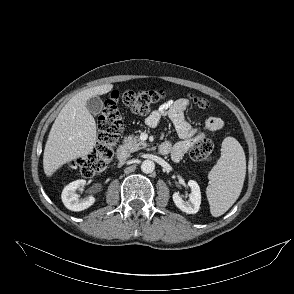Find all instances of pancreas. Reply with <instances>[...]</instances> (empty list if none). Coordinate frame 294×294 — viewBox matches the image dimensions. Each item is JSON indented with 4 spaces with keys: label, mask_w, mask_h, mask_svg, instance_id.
Instances as JSON below:
<instances>
[{
    "label": "pancreas",
    "mask_w": 294,
    "mask_h": 294,
    "mask_svg": "<svg viewBox=\"0 0 294 294\" xmlns=\"http://www.w3.org/2000/svg\"><path fill=\"white\" fill-rule=\"evenodd\" d=\"M123 147L128 152H136L147 147L146 142L142 141L138 136L130 135L124 140Z\"/></svg>",
    "instance_id": "cf45deb5"
}]
</instances>
